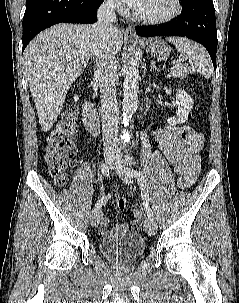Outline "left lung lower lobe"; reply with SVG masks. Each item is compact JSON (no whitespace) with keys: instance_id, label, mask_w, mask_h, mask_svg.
Segmentation results:
<instances>
[{"instance_id":"obj_1","label":"left lung lower lobe","mask_w":239,"mask_h":303,"mask_svg":"<svg viewBox=\"0 0 239 303\" xmlns=\"http://www.w3.org/2000/svg\"><path fill=\"white\" fill-rule=\"evenodd\" d=\"M139 36H184L201 43L216 67L217 30L212 0H193L182 6L180 16L165 25L137 26Z\"/></svg>"}]
</instances>
